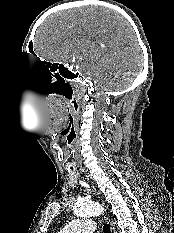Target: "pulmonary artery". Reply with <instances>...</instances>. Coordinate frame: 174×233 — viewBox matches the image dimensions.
<instances>
[{
    "instance_id": "1",
    "label": "pulmonary artery",
    "mask_w": 174,
    "mask_h": 233,
    "mask_svg": "<svg viewBox=\"0 0 174 233\" xmlns=\"http://www.w3.org/2000/svg\"><path fill=\"white\" fill-rule=\"evenodd\" d=\"M94 231V221L84 218L70 222L58 233H93Z\"/></svg>"
}]
</instances>
